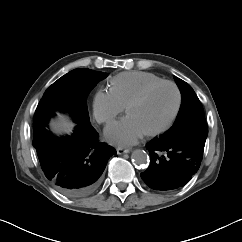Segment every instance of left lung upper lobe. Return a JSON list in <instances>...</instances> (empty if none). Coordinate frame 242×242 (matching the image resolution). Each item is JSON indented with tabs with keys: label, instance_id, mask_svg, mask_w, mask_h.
I'll return each instance as SVG.
<instances>
[{
	"label": "left lung upper lobe",
	"instance_id": "1",
	"mask_svg": "<svg viewBox=\"0 0 242 242\" xmlns=\"http://www.w3.org/2000/svg\"><path fill=\"white\" fill-rule=\"evenodd\" d=\"M180 89L182 103L173 126L163 134L171 139L199 138L206 139L208 129L202 105L192 87L175 77Z\"/></svg>",
	"mask_w": 242,
	"mask_h": 242
}]
</instances>
